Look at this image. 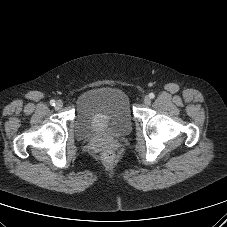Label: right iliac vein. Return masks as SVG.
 Returning a JSON list of instances; mask_svg holds the SVG:
<instances>
[{
  "mask_svg": "<svg viewBox=\"0 0 227 227\" xmlns=\"http://www.w3.org/2000/svg\"><path fill=\"white\" fill-rule=\"evenodd\" d=\"M63 107V102L62 101H57L55 104V109L59 110Z\"/></svg>",
  "mask_w": 227,
  "mask_h": 227,
  "instance_id": "right-iliac-vein-1",
  "label": "right iliac vein"
}]
</instances>
